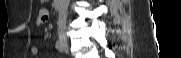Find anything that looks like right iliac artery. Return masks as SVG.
Returning <instances> with one entry per match:
<instances>
[{
	"label": "right iliac artery",
	"instance_id": "right-iliac-artery-1",
	"mask_svg": "<svg viewBox=\"0 0 181 58\" xmlns=\"http://www.w3.org/2000/svg\"><path fill=\"white\" fill-rule=\"evenodd\" d=\"M56 48L60 51V52H63L64 51V44L61 40H58L56 42Z\"/></svg>",
	"mask_w": 181,
	"mask_h": 58
}]
</instances>
